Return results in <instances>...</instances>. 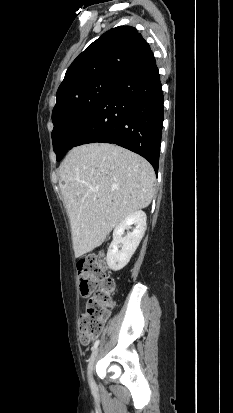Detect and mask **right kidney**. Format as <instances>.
Here are the masks:
<instances>
[{
    "label": "right kidney",
    "instance_id": "obj_1",
    "mask_svg": "<svg viewBox=\"0 0 233 413\" xmlns=\"http://www.w3.org/2000/svg\"><path fill=\"white\" fill-rule=\"evenodd\" d=\"M146 220L145 212L139 210L127 216L115 227L113 241L108 248L106 257L110 269L114 271L121 270L130 261L144 236ZM132 225H135L133 231L127 232V235L122 237L124 231L130 229Z\"/></svg>",
    "mask_w": 233,
    "mask_h": 413
}]
</instances>
